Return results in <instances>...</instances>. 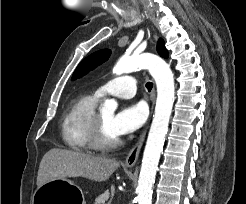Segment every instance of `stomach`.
<instances>
[{
    "instance_id": "0dacf381",
    "label": "stomach",
    "mask_w": 246,
    "mask_h": 204,
    "mask_svg": "<svg viewBox=\"0 0 246 204\" xmlns=\"http://www.w3.org/2000/svg\"><path fill=\"white\" fill-rule=\"evenodd\" d=\"M32 204H84V195L71 180L53 179L37 188Z\"/></svg>"
}]
</instances>
